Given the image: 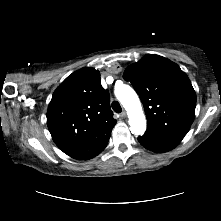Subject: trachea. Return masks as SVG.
I'll return each instance as SVG.
<instances>
[{
	"mask_svg": "<svg viewBox=\"0 0 221 221\" xmlns=\"http://www.w3.org/2000/svg\"><path fill=\"white\" fill-rule=\"evenodd\" d=\"M112 109L116 112V113H120L122 111V108L120 106V104L117 101H113L112 102Z\"/></svg>",
	"mask_w": 221,
	"mask_h": 221,
	"instance_id": "3493384b",
	"label": "trachea"
}]
</instances>
